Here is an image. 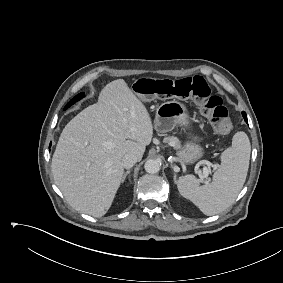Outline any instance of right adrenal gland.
Here are the masks:
<instances>
[{
  "instance_id": "right-adrenal-gland-1",
  "label": "right adrenal gland",
  "mask_w": 283,
  "mask_h": 283,
  "mask_svg": "<svg viewBox=\"0 0 283 283\" xmlns=\"http://www.w3.org/2000/svg\"><path fill=\"white\" fill-rule=\"evenodd\" d=\"M130 174V170L126 171L125 174L123 175L122 182L126 179L127 175Z\"/></svg>"
}]
</instances>
